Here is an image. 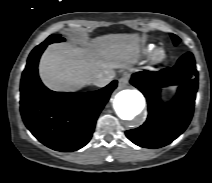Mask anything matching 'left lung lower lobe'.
Masks as SVG:
<instances>
[{
	"instance_id": "0a47b994",
	"label": "left lung lower lobe",
	"mask_w": 212,
	"mask_h": 183,
	"mask_svg": "<svg viewBox=\"0 0 212 183\" xmlns=\"http://www.w3.org/2000/svg\"><path fill=\"white\" fill-rule=\"evenodd\" d=\"M130 83L137 87L148 102V117L139 128L126 131L129 140L145 148H160L181 135L189 125L198 89V72L192 53L184 54L174 67L158 72H138ZM179 85L169 103L160 99L162 87Z\"/></svg>"
}]
</instances>
